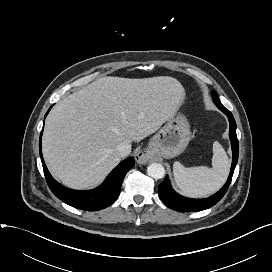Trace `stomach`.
I'll use <instances>...</instances> for the list:
<instances>
[{"label":"stomach","instance_id":"1","mask_svg":"<svg viewBox=\"0 0 272 272\" xmlns=\"http://www.w3.org/2000/svg\"><path fill=\"white\" fill-rule=\"evenodd\" d=\"M190 137V125L187 118L180 112H176L151 138L147 155L159 158L176 157L184 152Z\"/></svg>","mask_w":272,"mask_h":272}]
</instances>
